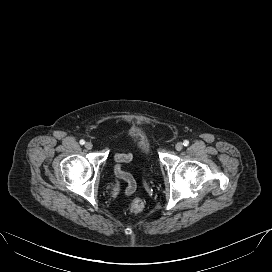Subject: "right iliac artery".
<instances>
[{"mask_svg": "<svg viewBox=\"0 0 272 272\" xmlns=\"http://www.w3.org/2000/svg\"><path fill=\"white\" fill-rule=\"evenodd\" d=\"M81 145H84L85 144V141L82 139V140H80V142H79Z\"/></svg>", "mask_w": 272, "mask_h": 272, "instance_id": "right-iliac-artery-1", "label": "right iliac artery"}]
</instances>
